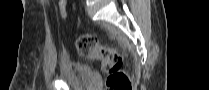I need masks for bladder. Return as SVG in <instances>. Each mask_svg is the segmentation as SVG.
I'll list each match as a JSON object with an SVG mask.
<instances>
[{
	"label": "bladder",
	"instance_id": "31cf9c89",
	"mask_svg": "<svg viewBox=\"0 0 209 90\" xmlns=\"http://www.w3.org/2000/svg\"><path fill=\"white\" fill-rule=\"evenodd\" d=\"M59 77L80 90H90L96 86L91 68L84 63L72 61L65 55L59 58Z\"/></svg>",
	"mask_w": 209,
	"mask_h": 90
}]
</instances>
